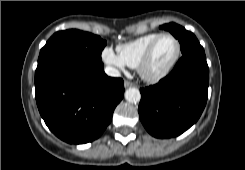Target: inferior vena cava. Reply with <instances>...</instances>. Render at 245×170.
<instances>
[{
	"label": "inferior vena cava",
	"mask_w": 245,
	"mask_h": 170,
	"mask_svg": "<svg viewBox=\"0 0 245 170\" xmlns=\"http://www.w3.org/2000/svg\"><path fill=\"white\" fill-rule=\"evenodd\" d=\"M105 73L108 75V76H111V77H120V72L118 69L114 68V67H111V66H107L105 68Z\"/></svg>",
	"instance_id": "obj_1"
}]
</instances>
